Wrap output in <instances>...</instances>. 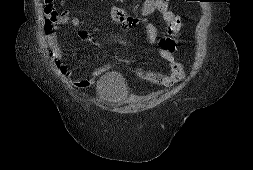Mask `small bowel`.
I'll use <instances>...</instances> for the list:
<instances>
[{
  "instance_id": "1",
  "label": "small bowel",
  "mask_w": 253,
  "mask_h": 170,
  "mask_svg": "<svg viewBox=\"0 0 253 170\" xmlns=\"http://www.w3.org/2000/svg\"><path fill=\"white\" fill-rule=\"evenodd\" d=\"M52 7H54V3H51L49 0H45V9L48 14L50 13V10H52ZM153 12H158L163 16L171 33H177L180 30L182 25L181 20L169 10V0H146L142 3L138 15L144 16ZM110 17L112 21L120 24L124 29H129L139 24L146 23V21L141 17L132 16L124 9L117 6L111 8ZM175 21L179 22L178 27L173 25ZM67 23L73 27H79L81 20L78 16H70L67 13H61L56 20V25H63ZM79 37L82 40L91 41V37L86 31L79 32ZM47 38L50 46L55 51V64L57 70L70 81L72 86L76 88H88L94 83L95 77L103 74L107 70L106 67H101L93 71L89 77H79L78 73L72 70L62 60L56 31L52 30L49 32L47 34ZM145 39L149 44H159L160 55L169 64L170 70L167 73L138 70V76L146 81L165 87H171L175 83L181 81L185 77V72L182 64L174 57V51L177 47L175 39L172 36L159 38L157 28L150 23L146 24Z\"/></svg>"
}]
</instances>
